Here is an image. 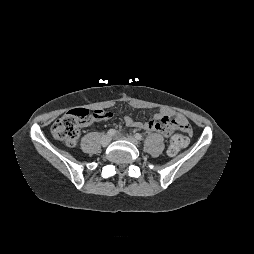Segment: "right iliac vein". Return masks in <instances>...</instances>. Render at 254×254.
I'll return each instance as SVG.
<instances>
[{"label": "right iliac vein", "mask_w": 254, "mask_h": 254, "mask_svg": "<svg viewBox=\"0 0 254 254\" xmlns=\"http://www.w3.org/2000/svg\"><path fill=\"white\" fill-rule=\"evenodd\" d=\"M111 142V137L109 135H104L101 139V144L107 146Z\"/></svg>", "instance_id": "63e3f726"}]
</instances>
